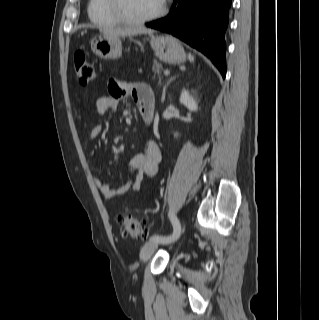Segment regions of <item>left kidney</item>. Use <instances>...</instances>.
<instances>
[{"instance_id":"left-kidney-1","label":"left kidney","mask_w":319,"mask_h":320,"mask_svg":"<svg viewBox=\"0 0 319 320\" xmlns=\"http://www.w3.org/2000/svg\"><path fill=\"white\" fill-rule=\"evenodd\" d=\"M180 103L189 109V111H197L198 105L194 98L189 94L188 90H183L180 95Z\"/></svg>"}]
</instances>
